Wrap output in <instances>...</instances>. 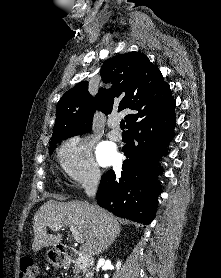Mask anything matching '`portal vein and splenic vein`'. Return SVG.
<instances>
[{
  "instance_id": "18ae733b",
  "label": "portal vein and splenic vein",
  "mask_w": 221,
  "mask_h": 278,
  "mask_svg": "<svg viewBox=\"0 0 221 278\" xmlns=\"http://www.w3.org/2000/svg\"><path fill=\"white\" fill-rule=\"evenodd\" d=\"M61 225H51L50 228L54 229V230H59L61 229ZM70 231L72 232V235L74 237V240L77 243H83L84 239L83 236L77 231V229H75L73 226H70Z\"/></svg>"
}]
</instances>
